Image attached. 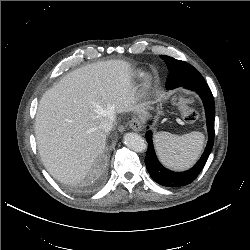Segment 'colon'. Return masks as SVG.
<instances>
[{
	"label": "colon",
	"mask_w": 250,
	"mask_h": 250,
	"mask_svg": "<svg viewBox=\"0 0 250 250\" xmlns=\"http://www.w3.org/2000/svg\"><path fill=\"white\" fill-rule=\"evenodd\" d=\"M174 103L178 106L184 119L188 122H195L198 118V112L193 106V101L182 95L174 98Z\"/></svg>",
	"instance_id": "5ec220e1"
}]
</instances>
